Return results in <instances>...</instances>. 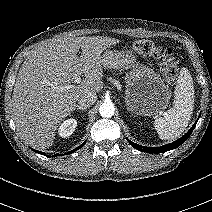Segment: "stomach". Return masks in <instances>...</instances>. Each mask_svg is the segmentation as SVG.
<instances>
[{
	"mask_svg": "<svg viewBox=\"0 0 212 212\" xmlns=\"http://www.w3.org/2000/svg\"><path fill=\"white\" fill-rule=\"evenodd\" d=\"M101 59L104 68L130 69L124 97L130 113L136 116H154L168 106L171 99L169 86L153 69L139 64L132 50H107Z\"/></svg>",
	"mask_w": 212,
	"mask_h": 212,
	"instance_id": "stomach-1",
	"label": "stomach"
}]
</instances>
